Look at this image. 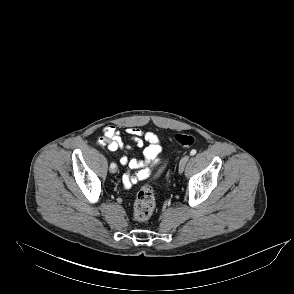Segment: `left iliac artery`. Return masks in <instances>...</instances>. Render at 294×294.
I'll return each instance as SVG.
<instances>
[{"instance_id":"left-iliac-artery-1","label":"left iliac artery","mask_w":294,"mask_h":294,"mask_svg":"<svg viewBox=\"0 0 294 294\" xmlns=\"http://www.w3.org/2000/svg\"><path fill=\"white\" fill-rule=\"evenodd\" d=\"M196 152H197V151H196L195 149H193V150H191V152H190V155H192V156H193V155H195V154H196Z\"/></svg>"}]
</instances>
